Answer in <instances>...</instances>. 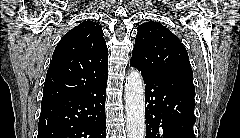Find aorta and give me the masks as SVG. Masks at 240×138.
I'll use <instances>...</instances> for the list:
<instances>
[{
	"instance_id": "obj_1",
	"label": "aorta",
	"mask_w": 240,
	"mask_h": 138,
	"mask_svg": "<svg viewBox=\"0 0 240 138\" xmlns=\"http://www.w3.org/2000/svg\"><path fill=\"white\" fill-rule=\"evenodd\" d=\"M144 86L140 72L132 69L126 77L125 110L128 138L145 137Z\"/></svg>"
}]
</instances>
